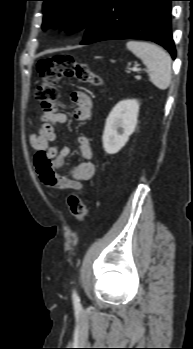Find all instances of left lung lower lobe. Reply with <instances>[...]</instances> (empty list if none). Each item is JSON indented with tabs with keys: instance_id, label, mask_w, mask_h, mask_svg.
Instances as JSON below:
<instances>
[{
	"instance_id": "0a47b994",
	"label": "left lung lower lobe",
	"mask_w": 193,
	"mask_h": 349,
	"mask_svg": "<svg viewBox=\"0 0 193 349\" xmlns=\"http://www.w3.org/2000/svg\"><path fill=\"white\" fill-rule=\"evenodd\" d=\"M174 0H106L86 28L81 44L110 39H143L163 46L175 58L170 14Z\"/></svg>"
}]
</instances>
